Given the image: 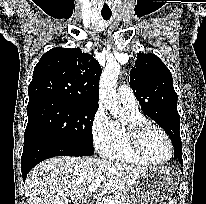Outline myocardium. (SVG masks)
Segmentation results:
<instances>
[{
  "instance_id": "1",
  "label": "myocardium",
  "mask_w": 206,
  "mask_h": 204,
  "mask_svg": "<svg viewBox=\"0 0 206 204\" xmlns=\"http://www.w3.org/2000/svg\"><path fill=\"white\" fill-rule=\"evenodd\" d=\"M150 130H155V131L159 132L165 138V140L169 146L170 153H169L168 158L164 161L158 162V161L151 159L147 155V153L144 149L143 140H144L146 133ZM128 131H129L131 145H132L134 151L137 153V155H139L143 160H145L149 164L165 165L168 162H170V160L173 158L174 146H173L172 140H171L170 136L167 134V132L163 128H161L160 126L146 120V121H141V122L130 124L128 126Z\"/></svg>"
}]
</instances>
